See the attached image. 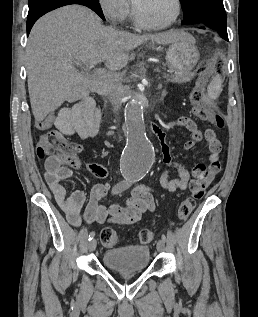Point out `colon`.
I'll return each mask as SVG.
<instances>
[{"mask_svg":"<svg viewBox=\"0 0 258 317\" xmlns=\"http://www.w3.org/2000/svg\"><path fill=\"white\" fill-rule=\"evenodd\" d=\"M206 81L195 87L190 93V104L193 114L203 121L214 123L218 128L224 127V118L221 113L213 112L206 103ZM81 147L63 137L56 130H49L39 136L37 155L40 158L55 156L67 165L77 167L80 165ZM203 195V190L194 191L193 196L184 199L178 208V217L185 221L189 218L196 206V199ZM154 234L149 229H143L138 234V241L142 244L151 242ZM101 243L107 248L116 247L119 236L112 228H104L100 233Z\"/></svg>","mask_w":258,"mask_h":317,"instance_id":"obj_1","label":"colon"}]
</instances>
